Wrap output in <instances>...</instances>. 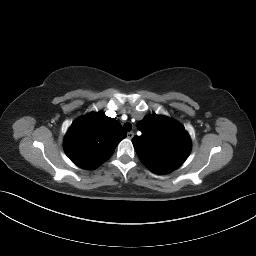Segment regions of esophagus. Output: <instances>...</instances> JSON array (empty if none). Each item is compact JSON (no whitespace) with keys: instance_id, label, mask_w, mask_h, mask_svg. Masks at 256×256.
Instances as JSON below:
<instances>
[{"instance_id":"obj_1","label":"esophagus","mask_w":256,"mask_h":256,"mask_svg":"<svg viewBox=\"0 0 256 256\" xmlns=\"http://www.w3.org/2000/svg\"><path fill=\"white\" fill-rule=\"evenodd\" d=\"M127 137H128L129 139H132V138L134 137V133H133V132H128V133H127Z\"/></svg>"}]
</instances>
